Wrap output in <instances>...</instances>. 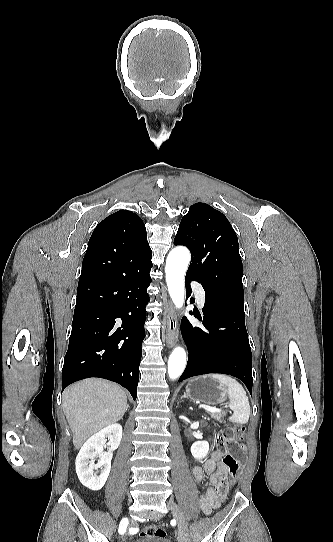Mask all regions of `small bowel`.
Wrapping results in <instances>:
<instances>
[{
	"label": "small bowel",
	"instance_id": "obj_1",
	"mask_svg": "<svg viewBox=\"0 0 333 542\" xmlns=\"http://www.w3.org/2000/svg\"><path fill=\"white\" fill-rule=\"evenodd\" d=\"M211 443L214 447L211 456L204 461L202 467L196 466L192 469L193 478L197 484L204 481L205 474L208 475L205 491L199 499L200 508L205 514H210L213 510L219 508L224 501L226 494L220 491V485L227 479L229 474V469L224 462L227 453L216 447L214 438L211 439ZM239 450L244 453L246 447L240 445Z\"/></svg>",
	"mask_w": 333,
	"mask_h": 542
}]
</instances>
